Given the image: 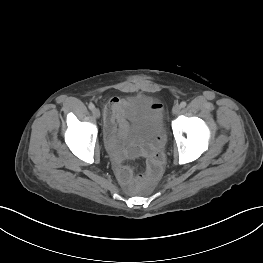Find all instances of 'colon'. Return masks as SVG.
I'll return each mask as SVG.
<instances>
[{
    "label": "colon",
    "instance_id": "5ec220e1",
    "mask_svg": "<svg viewBox=\"0 0 263 263\" xmlns=\"http://www.w3.org/2000/svg\"><path fill=\"white\" fill-rule=\"evenodd\" d=\"M161 165L162 162L160 161L151 162L148 165L146 173L137 178V186H145L157 180L161 173Z\"/></svg>",
    "mask_w": 263,
    "mask_h": 263
}]
</instances>
